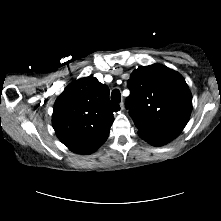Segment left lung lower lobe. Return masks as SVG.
<instances>
[{
  "label": "left lung lower lobe",
  "instance_id": "1",
  "mask_svg": "<svg viewBox=\"0 0 221 221\" xmlns=\"http://www.w3.org/2000/svg\"><path fill=\"white\" fill-rule=\"evenodd\" d=\"M138 135L153 146H162L170 142L172 139H167L152 134L145 133L143 131H138Z\"/></svg>",
  "mask_w": 221,
  "mask_h": 221
}]
</instances>
